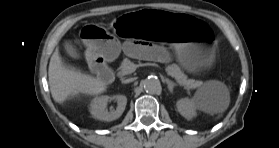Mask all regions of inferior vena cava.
<instances>
[{"instance_id":"1","label":"inferior vena cava","mask_w":279,"mask_h":148,"mask_svg":"<svg viewBox=\"0 0 279 148\" xmlns=\"http://www.w3.org/2000/svg\"><path fill=\"white\" fill-rule=\"evenodd\" d=\"M132 81H134V78L126 79V80H124L123 82H124V83H129V82H132Z\"/></svg>"}]
</instances>
